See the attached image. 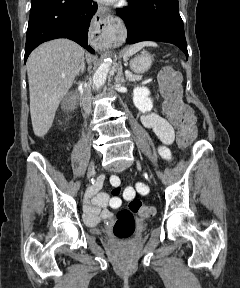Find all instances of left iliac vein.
I'll list each match as a JSON object with an SVG mask.
<instances>
[{"instance_id":"4c4485c4","label":"left iliac vein","mask_w":240,"mask_h":288,"mask_svg":"<svg viewBox=\"0 0 240 288\" xmlns=\"http://www.w3.org/2000/svg\"><path fill=\"white\" fill-rule=\"evenodd\" d=\"M136 163H137V165H138V166H141V163H140V161H136Z\"/></svg>"}]
</instances>
